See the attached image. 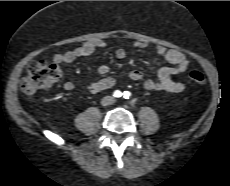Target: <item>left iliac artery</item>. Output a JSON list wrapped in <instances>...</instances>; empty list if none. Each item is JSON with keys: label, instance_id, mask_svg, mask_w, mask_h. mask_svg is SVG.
Returning <instances> with one entry per match:
<instances>
[{"label": "left iliac artery", "instance_id": "44dca946", "mask_svg": "<svg viewBox=\"0 0 230 186\" xmlns=\"http://www.w3.org/2000/svg\"><path fill=\"white\" fill-rule=\"evenodd\" d=\"M131 97V93L129 91L124 92V98L129 99Z\"/></svg>", "mask_w": 230, "mask_h": 186}]
</instances>
